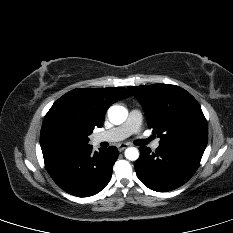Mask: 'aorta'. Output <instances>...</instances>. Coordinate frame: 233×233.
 I'll return each instance as SVG.
<instances>
[{"label":"aorta","instance_id":"aorta-1","mask_svg":"<svg viewBox=\"0 0 233 233\" xmlns=\"http://www.w3.org/2000/svg\"><path fill=\"white\" fill-rule=\"evenodd\" d=\"M109 120L116 125L122 124L128 117V111L120 105H113L108 109ZM125 157L128 160L135 161L139 157V151L135 147H129L125 150Z\"/></svg>","mask_w":233,"mask_h":233}]
</instances>
